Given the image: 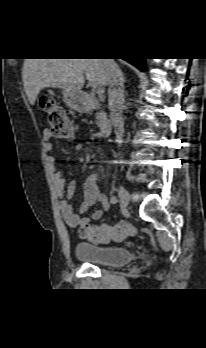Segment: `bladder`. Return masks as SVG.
Returning a JSON list of instances; mask_svg holds the SVG:
<instances>
[{
	"mask_svg": "<svg viewBox=\"0 0 206 348\" xmlns=\"http://www.w3.org/2000/svg\"><path fill=\"white\" fill-rule=\"evenodd\" d=\"M74 254L84 262L101 265L126 264L133 260V254L127 248L85 242H79L75 245Z\"/></svg>",
	"mask_w": 206,
	"mask_h": 348,
	"instance_id": "1",
	"label": "bladder"
}]
</instances>
